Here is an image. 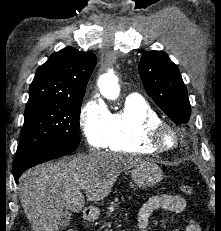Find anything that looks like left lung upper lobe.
<instances>
[{
    "instance_id": "1",
    "label": "left lung upper lobe",
    "mask_w": 221,
    "mask_h": 231,
    "mask_svg": "<svg viewBox=\"0 0 221 231\" xmlns=\"http://www.w3.org/2000/svg\"><path fill=\"white\" fill-rule=\"evenodd\" d=\"M139 73L146 92L164 113L177 125L187 123L191 115L187 89L168 55L163 51L144 53Z\"/></svg>"
}]
</instances>
